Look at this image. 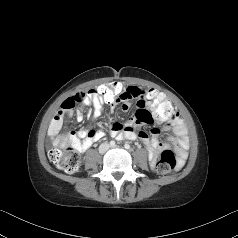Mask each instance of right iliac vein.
<instances>
[{"instance_id": "right-iliac-vein-1", "label": "right iliac vein", "mask_w": 238, "mask_h": 238, "mask_svg": "<svg viewBox=\"0 0 238 238\" xmlns=\"http://www.w3.org/2000/svg\"><path fill=\"white\" fill-rule=\"evenodd\" d=\"M107 148H108L107 145L104 144L100 147V151L103 153L107 150Z\"/></svg>"}]
</instances>
